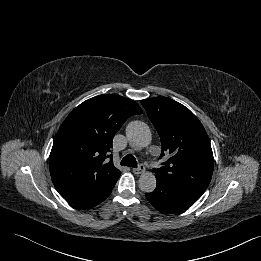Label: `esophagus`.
<instances>
[{
  "label": "esophagus",
  "instance_id": "1",
  "mask_svg": "<svg viewBox=\"0 0 261 261\" xmlns=\"http://www.w3.org/2000/svg\"><path fill=\"white\" fill-rule=\"evenodd\" d=\"M145 171V166L143 164H140L138 168H134L132 172L136 175H139Z\"/></svg>",
  "mask_w": 261,
  "mask_h": 261
}]
</instances>
